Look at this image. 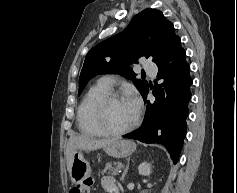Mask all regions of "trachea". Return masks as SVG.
Returning <instances> with one entry per match:
<instances>
[{"mask_svg": "<svg viewBox=\"0 0 237 193\" xmlns=\"http://www.w3.org/2000/svg\"><path fill=\"white\" fill-rule=\"evenodd\" d=\"M142 76H145V73H142Z\"/></svg>", "mask_w": 237, "mask_h": 193, "instance_id": "trachea-1", "label": "trachea"}]
</instances>
